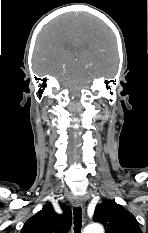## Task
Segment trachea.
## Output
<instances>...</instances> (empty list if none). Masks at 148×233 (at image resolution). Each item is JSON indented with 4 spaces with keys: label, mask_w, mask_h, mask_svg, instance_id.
Instances as JSON below:
<instances>
[{
    "label": "trachea",
    "mask_w": 148,
    "mask_h": 233,
    "mask_svg": "<svg viewBox=\"0 0 148 233\" xmlns=\"http://www.w3.org/2000/svg\"><path fill=\"white\" fill-rule=\"evenodd\" d=\"M82 228V210L81 207L74 208V232L80 233Z\"/></svg>",
    "instance_id": "1"
}]
</instances>
